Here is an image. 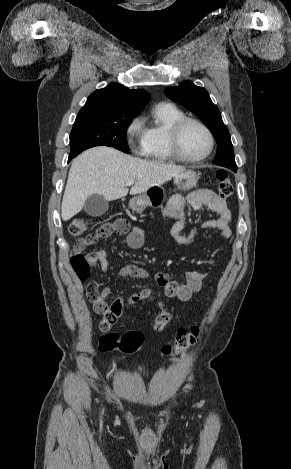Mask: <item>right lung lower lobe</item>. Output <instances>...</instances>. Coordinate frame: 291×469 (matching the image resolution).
Returning <instances> with one entry per match:
<instances>
[{"label": "right lung lower lobe", "mask_w": 291, "mask_h": 469, "mask_svg": "<svg viewBox=\"0 0 291 469\" xmlns=\"http://www.w3.org/2000/svg\"><path fill=\"white\" fill-rule=\"evenodd\" d=\"M71 159H72V158H71V157H69V159H68V162H70V161H71Z\"/></svg>", "instance_id": "right-lung-lower-lobe-1"}]
</instances>
